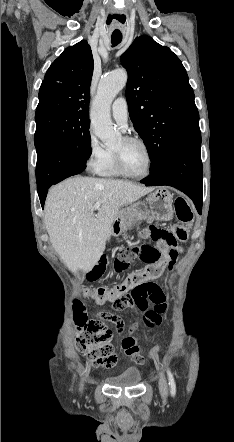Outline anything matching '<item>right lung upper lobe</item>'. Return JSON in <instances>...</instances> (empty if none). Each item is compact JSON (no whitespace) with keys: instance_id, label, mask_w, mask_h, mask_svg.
Instances as JSON below:
<instances>
[{"instance_id":"right-lung-upper-lobe-1","label":"right lung upper lobe","mask_w":234,"mask_h":442,"mask_svg":"<svg viewBox=\"0 0 234 442\" xmlns=\"http://www.w3.org/2000/svg\"><path fill=\"white\" fill-rule=\"evenodd\" d=\"M93 56L87 41L68 47L51 64L39 90L36 117L53 112H88Z\"/></svg>"}]
</instances>
